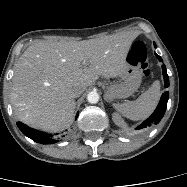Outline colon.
Masks as SVG:
<instances>
[{"label": "colon", "instance_id": "obj_1", "mask_svg": "<svg viewBox=\"0 0 187 187\" xmlns=\"http://www.w3.org/2000/svg\"><path fill=\"white\" fill-rule=\"evenodd\" d=\"M128 62L131 65L139 66L141 69V73L144 76H149L150 74L149 57L147 53V48L143 42L136 41L132 45L128 53Z\"/></svg>", "mask_w": 187, "mask_h": 187}]
</instances>
